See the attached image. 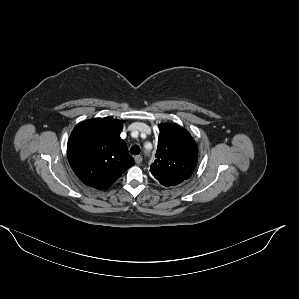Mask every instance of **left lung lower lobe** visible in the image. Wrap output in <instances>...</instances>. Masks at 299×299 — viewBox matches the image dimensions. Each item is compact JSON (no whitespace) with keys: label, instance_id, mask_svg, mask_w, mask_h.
<instances>
[{"label":"left lung lower lobe","instance_id":"obj_1","mask_svg":"<svg viewBox=\"0 0 299 299\" xmlns=\"http://www.w3.org/2000/svg\"><path fill=\"white\" fill-rule=\"evenodd\" d=\"M183 180H179V181H165V182H160L162 185L169 187V186H176L178 184H180Z\"/></svg>","mask_w":299,"mask_h":299}]
</instances>
